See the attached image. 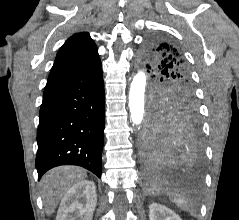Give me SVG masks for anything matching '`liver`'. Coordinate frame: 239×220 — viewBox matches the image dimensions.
I'll use <instances>...</instances> for the list:
<instances>
[{"label": "liver", "mask_w": 239, "mask_h": 220, "mask_svg": "<svg viewBox=\"0 0 239 220\" xmlns=\"http://www.w3.org/2000/svg\"><path fill=\"white\" fill-rule=\"evenodd\" d=\"M86 176L83 169L73 166H61L48 171L40 182L46 214L51 215L67 191Z\"/></svg>", "instance_id": "liver-1"}]
</instances>
